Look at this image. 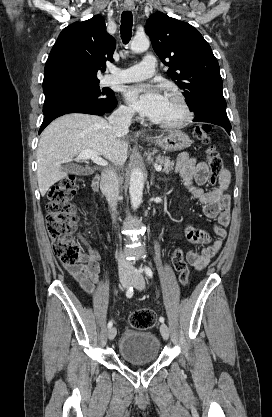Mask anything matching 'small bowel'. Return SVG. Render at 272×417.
<instances>
[{
    "mask_svg": "<svg viewBox=\"0 0 272 417\" xmlns=\"http://www.w3.org/2000/svg\"><path fill=\"white\" fill-rule=\"evenodd\" d=\"M175 170L179 173L190 194L202 204L204 215L216 220L213 228L216 236L214 240L209 233L193 226H188L185 230L188 242L204 245L201 252L189 251L186 257L187 264L192 269L200 271L216 256L227 236L226 228L230 224V197L228 194L230 174L227 170H223L217 186L210 191H205L203 186L210 178V170L205 162L182 153L177 159ZM84 247L87 253L83 255L81 264H64V266L80 287L90 296H94L97 287L101 286L99 278L100 256L88 243H84Z\"/></svg>",
    "mask_w": 272,
    "mask_h": 417,
    "instance_id": "small-bowel-1",
    "label": "small bowel"
}]
</instances>
